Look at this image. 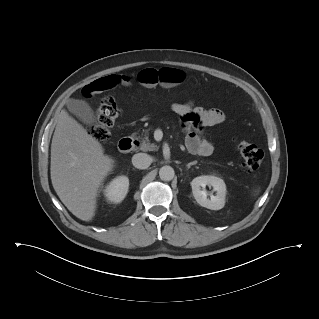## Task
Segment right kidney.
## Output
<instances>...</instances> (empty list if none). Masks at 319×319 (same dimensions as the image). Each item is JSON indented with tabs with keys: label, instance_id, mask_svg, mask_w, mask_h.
I'll return each mask as SVG.
<instances>
[{
	"label": "right kidney",
	"instance_id": "1",
	"mask_svg": "<svg viewBox=\"0 0 319 319\" xmlns=\"http://www.w3.org/2000/svg\"><path fill=\"white\" fill-rule=\"evenodd\" d=\"M129 188V179L126 176L114 178L104 189L108 202L120 203L126 196Z\"/></svg>",
	"mask_w": 319,
	"mask_h": 319
}]
</instances>
